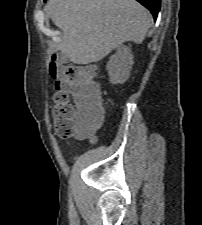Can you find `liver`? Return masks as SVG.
<instances>
[{"label":"liver","mask_w":202,"mask_h":225,"mask_svg":"<svg viewBox=\"0 0 202 225\" xmlns=\"http://www.w3.org/2000/svg\"><path fill=\"white\" fill-rule=\"evenodd\" d=\"M45 8L62 31L58 49L75 64L98 62L127 41L142 43L153 21L136 0H49Z\"/></svg>","instance_id":"obj_1"}]
</instances>
